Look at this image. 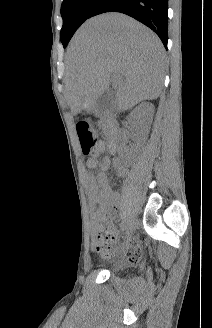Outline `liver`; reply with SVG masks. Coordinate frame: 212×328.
Segmentation results:
<instances>
[{
	"instance_id": "obj_1",
	"label": "liver",
	"mask_w": 212,
	"mask_h": 328,
	"mask_svg": "<svg viewBox=\"0 0 212 328\" xmlns=\"http://www.w3.org/2000/svg\"><path fill=\"white\" fill-rule=\"evenodd\" d=\"M164 58L158 36L126 15L105 13L87 20L66 55L64 94L72 113L90 109L111 82L122 111L158 98Z\"/></svg>"
}]
</instances>
